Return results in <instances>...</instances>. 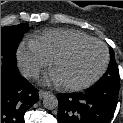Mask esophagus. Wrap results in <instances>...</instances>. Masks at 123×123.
Returning <instances> with one entry per match:
<instances>
[{"instance_id": "obj_1", "label": "esophagus", "mask_w": 123, "mask_h": 123, "mask_svg": "<svg viewBox=\"0 0 123 123\" xmlns=\"http://www.w3.org/2000/svg\"><path fill=\"white\" fill-rule=\"evenodd\" d=\"M50 92L49 91H45V90H40L39 91V97L40 99L44 98L46 95H48Z\"/></svg>"}]
</instances>
